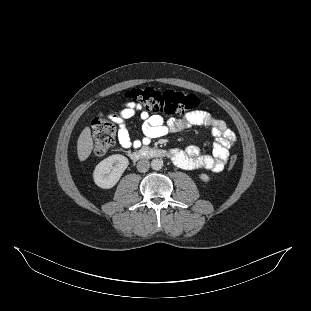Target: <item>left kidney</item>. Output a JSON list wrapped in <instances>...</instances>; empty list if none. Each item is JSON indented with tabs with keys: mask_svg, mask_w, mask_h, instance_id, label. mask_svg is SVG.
Segmentation results:
<instances>
[{
	"mask_svg": "<svg viewBox=\"0 0 311 311\" xmlns=\"http://www.w3.org/2000/svg\"><path fill=\"white\" fill-rule=\"evenodd\" d=\"M202 179H205V180H206V179H207V176L203 175V176H202Z\"/></svg>",
	"mask_w": 311,
	"mask_h": 311,
	"instance_id": "5707ae66",
	"label": "left kidney"
}]
</instances>
